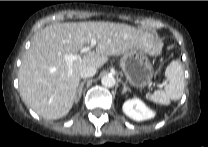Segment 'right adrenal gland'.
<instances>
[{"label": "right adrenal gland", "mask_w": 208, "mask_h": 147, "mask_svg": "<svg viewBox=\"0 0 208 147\" xmlns=\"http://www.w3.org/2000/svg\"><path fill=\"white\" fill-rule=\"evenodd\" d=\"M85 82H86V79H84V80L80 83V85H79V87H78V89H77V93H76V97H75V101H76V102H78V101L80 100V97H81L82 90H83V87H84Z\"/></svg>", "instance_id": "2a0ac1e0"}]
</instances>
